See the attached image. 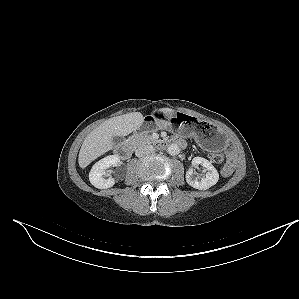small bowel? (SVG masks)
<instances>
[{
    "mask_svg": "<svg viewBox=\"0 0 299 299\" xmlns=\"http://www.w3.org/2000/svg\"><path fill=\"white\" fill-rule=\"evenodd\" d=\"M177 140H180L183 143L182 146L184 145V141L182 139H177Z\"/></svg>",
    "mask_w": 299,
    "mask_h": 299,
    "instance_id": "small-bowel-1",
    "label": "small bowel"
}]
</instances>
